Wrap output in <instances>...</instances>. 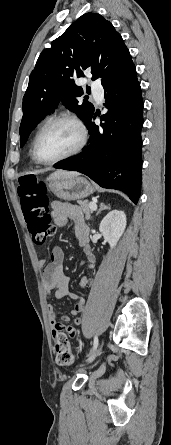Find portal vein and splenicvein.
Instances as JSON below:
<instances>
[{"mask_svg":"<svg viewBox=\"0 0 171 445\" xmlns=\"http://www.w3.org/2000/svg\"><path fill=\"white\" fill-rule=\"evenodd\" d=\"M89 207H90L91 210H96L97 205H96L95 202H90V203H89Z\"/></svg>","mask_w":171,"mask_h":445,"instance_id":"obj_1","label":"portal vein and splenic vein"}]
</instances>
